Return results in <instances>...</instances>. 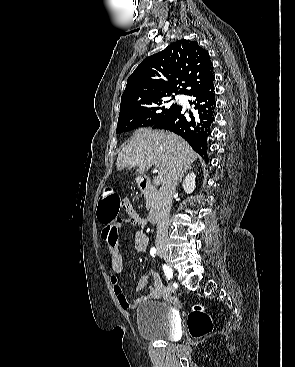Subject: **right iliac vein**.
<instances>
[{"label": "right iliac vein", "mask_w": 295, "mask_h": 367, "mask_svg": "<svg viewBox=\"0 0 295 367\" xmlns=\"http://www.w3.org/2000/svg\"><path fill=\"white\" fill-rule=\"evenodd\" d=\"M158 254H159L162 258H164L167 262H169V255H168V252H167L165 249H163V248H159V249H158Z\"/></svg>", "instance_id": "obj_1"}]
</instances>
